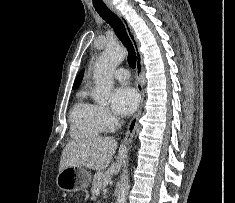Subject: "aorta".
Wrapping results in <instances>:
<instances>
[{
    "mask_svg": "<svg viewBox=\"0 0 235 203\" xmlns=\"http://www.w3.org/2000/svg\"><path fill=\"white\" fill-rule=\"evenodd\" d=\"M126 50L117 43L109 44L95 63L93 78L95 89L92 97L98 104L107 105L114 85L113 72L124 60ZM129 183L125 181L118 193L116 203H126Z\"/></svg>",
    "mask_w": 235,
    "mask_h": 203,
    "instance_id": "aorta-1",
    "label": "aorta"
}]
</instances>
